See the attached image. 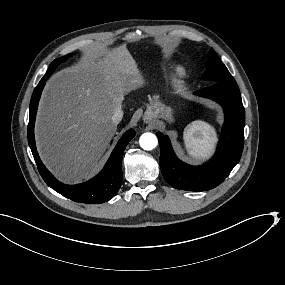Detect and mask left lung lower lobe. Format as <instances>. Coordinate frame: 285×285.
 <instances>
[{"mask_svg": "<svg viewBox=\"0 0 285 285\" xmlns=\"http://www.w3.org/2000/svg\"><path fill=\"white\" fill-rule=\"evenodd\" d=\"M195 94L218 102L225 112V123L215 156L203 166L185 164L176 157L169 139L157 132L160 167L162 175L172 187L205 191L221 184L240 160L244 144L245 112L236 82L213 83Z\"/></svg>", "mask_w": 285, "mask_h": 285, "instance_id": "obj_1", "label": "left lung lower lobe"}]
</instances>
